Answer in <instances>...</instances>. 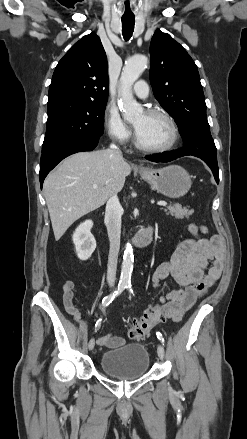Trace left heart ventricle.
I'll use <instances>...</instances> for the list:
<instances>
[{"label": "left heart ventricle", "mask_w": 247, "mask_h": 439, "mask_svg": "<svg viewBox=\"0 0 247 439\" xmlns=\"http://www.w3.org/2000/svg\"><path fill=\"white\" fill-rule=\"evenodd\" d=\"M133 126L139 140L146 146H164L171 139L170 125L163 117L143 113L136 118Z\"/></svg>", "instance_id": "1"}]
</instances>
